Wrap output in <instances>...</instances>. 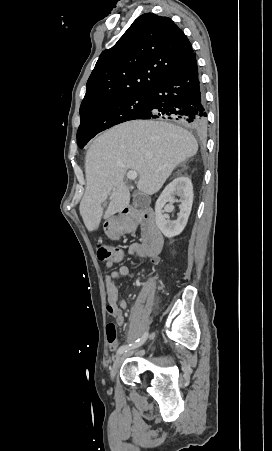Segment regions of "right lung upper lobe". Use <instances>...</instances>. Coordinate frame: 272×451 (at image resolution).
<instances>
[{
  "instance_id": "cb5924a9",
  "label": "right lung upper lobe",
  "mask_w": 272,
  "mask_h": 451,
  "mask_svg": "<svg viewBox=\"0 0 272 451\" xmlns=\"http://www.w3.org/2000/svg\"><path fill=\"white\" fill-rule=\"evenodd\" d=\"M193 53L190 41L169 17L141 15L101 53L87 81L80 113L108 100L149 94Z\"/></svg>"
}]
</instances>
